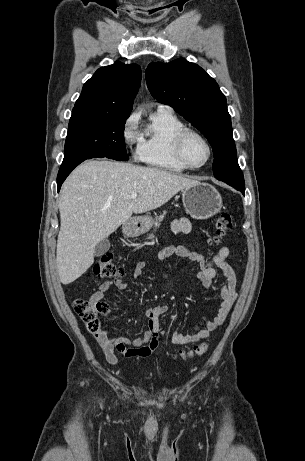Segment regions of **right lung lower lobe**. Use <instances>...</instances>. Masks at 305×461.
<instances>
[{
	"label": "right lung lower lobe",
	"mask_w": 305,
	"mask_h": 461,
	"mask_svg": "<svg viewBox=\"0 0 305 461\" xmlns=\"http://www.w3.org/2000/svg\"><path fill=\"white\" fill-rule=\"evenodd\" d=\"M81 162H77L75 164H72L70 166H66V167H63L61 166L60 167V170L58 172V177H57V187H58V191L60 190L61 188V185L62 183L64 182V180L66 179V177L71 173V171L77 166L79 165Z\"/></svg>",
	"instance_id": "98d812e1"
}]
</instances>
